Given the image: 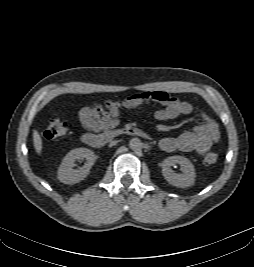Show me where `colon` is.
<instances>
[{
  "label": "colon",
  "instance_id": "5ec220e1",
  "mask_svg": "<svg viewBox=\"0 0 254 267\" xmlns=\"http://www.w3.org/2000/svg\"><path fill=\"white\" fill-rule=\"evenodd\" d=\"M67 131H68V124L58 117H53L49 121L44 131V137L48 140H53L65 135ZM217 161H218V155L214 152H209L203 158V163L206 166L213 165Z\"/></svg>",
  "mask_w": 254,
  "mask_h": 267
}]
</instances>
